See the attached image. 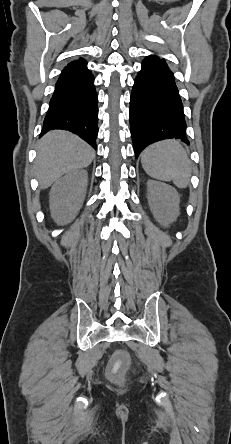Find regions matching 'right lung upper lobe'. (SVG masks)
I'll return each instance as SVG.
<instances>
[{"label": "right lung upper lobe", "mask_w": 231, "mask_h": 444, "mask_svg": "<svg viewBox=\"0 0 231 444\" xmlns=\"http://www.w3.org/2000/svg\"><path fill=\"white\" fill-rule=\"evenodd\" d=\"M87 62L84 59L76 60L69 63L63 70V72H70L74 70H78L86 66Z\"/></svg>", "instance_id": "1"}]
</instances>
